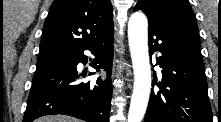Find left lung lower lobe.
Returning <instances> with one entry per match:
<instances>
[{
  "label": "left lung lower lobe",
  "mask_w": 221,
  "mask_h": 122,
  "mask_svg": "<svg viewBox=\"0 0 221 122\" xmlns=\"http://www.w3.org/2000/svg\"><path fill=\"white\" fill-rule=\"evenodd\" d=\"M139 9L149 19V54L161 53L156 65L162 68L158 84L153 72L159 89L151 91L144 122H213L198 35L161 24Z\"/></svg>",
  "instance_id": "left-lung-lower-lobe-1"
}]
</instances>
